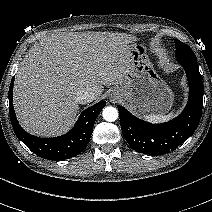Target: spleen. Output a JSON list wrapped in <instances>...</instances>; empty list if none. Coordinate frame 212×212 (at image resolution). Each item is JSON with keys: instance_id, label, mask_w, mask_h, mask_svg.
I'll use <instances>...</instances> for the list:
<instances>
[{"instance_id": "obj_1", "label": "spleen", "mask_w": 212, "mask_h": 212, "mask_svg": "<svg viewBox=\"0 0 212 212\" xmlns=\"http://www.w3.org/2000/svg\"><path fill=\"white\" fill-rule=\"evenodd\" d=\"M174 116V112H170L168 115H163V114H149L146 115L144 118L149 121V122H166L170 120Z\"/></svg>"}]
</instances>
